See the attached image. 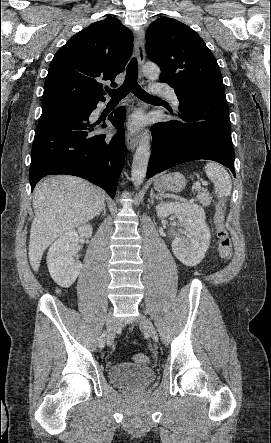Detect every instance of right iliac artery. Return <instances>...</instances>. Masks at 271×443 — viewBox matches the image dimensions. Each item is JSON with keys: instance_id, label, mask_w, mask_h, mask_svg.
<instances>
[{"instance_id": "82829eb1", "label": "right iliac artery", "mask_w": 271, "mask_h": 443, "mask_svg": "<svg viewBox=\"0 0 271 443\" xmlns=\"http://www.w3.org/2000/svg\"><path fill=\"white\" fill-rule=\"evenodd\" d=\"M105 339H106V332H104L99 339V348L102 349L104 347L105 344Z\"/></svg>"}]
</instances>
